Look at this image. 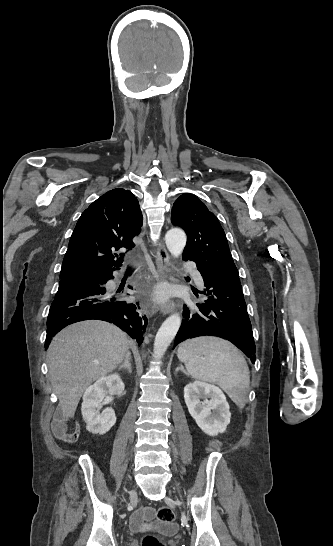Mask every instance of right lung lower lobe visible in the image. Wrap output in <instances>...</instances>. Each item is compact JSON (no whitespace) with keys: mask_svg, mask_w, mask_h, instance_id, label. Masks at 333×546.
Here are the masks:
<instances>
[{"mask_svg":"<svg viewBox=\"0 0 333 546\" xmlns=\"http://www.w3.org/2000/svg\"><path fill=\"white\" fill-rule=\"evenodd\" d=\"M110 279L112 273L105 275L103 284L95 282L58 290L47 319L45 349L61 329L89 319L114 323L139 345L143 342L147 318L139 306L106 293L104 284Z\"/></svg>","mask_w":333,"mask_h":546,"instance_id":"right-lung-lower-lobe-1","label":"right lung lower lobe"}]
</instances>
